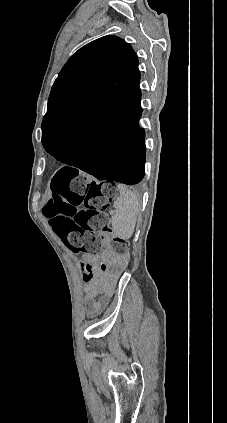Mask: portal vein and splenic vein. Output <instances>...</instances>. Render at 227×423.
Listing matches in <instances>:
<instances>
[{
    "label": "portal vein and splenic vein",
    "instance_id": "obj_1",
    "mask_svg": "<svg viewBox=\"0 0 227 423\" xmlns=\"http://www.w3.org/2000/svg\"><path fill=\"white\" fill-rule=\"evenodd\" d=\"M111 213H114V210H111Z\"/></svg>",
    "mask_w": 227,
    "mask_h": 423
}]
</instances>
